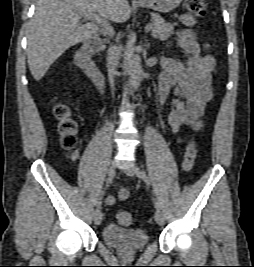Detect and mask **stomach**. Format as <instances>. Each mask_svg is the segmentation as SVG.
<instances>
[{"label": "stomach", "instance_id": "stomach-1", "mask_svg": "<svg viewBox=\"0 0 254 267\" xmlns=\"http://www.w3.org/2000/svg\"><path fill=\"white\" fill-rule=\"evenodd\" d=\"M181 2L182 0H140L139 5L160 13H168L178 7Z\"/></svg>", "mask_w": 254, "mask_h": 267}]
</instances>
